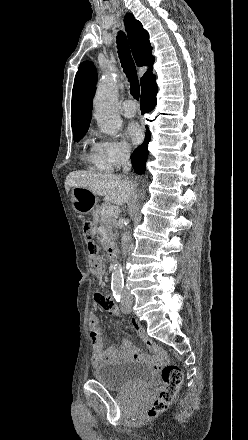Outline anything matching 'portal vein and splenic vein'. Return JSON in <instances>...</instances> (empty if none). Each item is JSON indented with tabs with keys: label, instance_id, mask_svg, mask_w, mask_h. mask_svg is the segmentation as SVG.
<instances>
[{
	"label": "portal vein and splenic vein",
	"instance_id": "portal-vein-and-splenic-vein-1",
	"mask_svg": "<svg viewBox=\"0 0 248 440\" xmlns=\"http://www.w3.org/2000/svg\"><path fill=\"white\" fill-rule=\"evenodd\" d=\"M103 215L115 217L120 213V210L118 207L114 205H109L106 208L103 209Z\"/></svg>",
	"mask_w": 248,
	"mask_h": 440
}]
</instances>
